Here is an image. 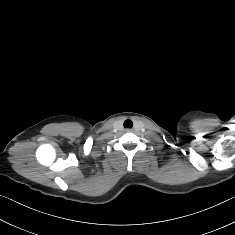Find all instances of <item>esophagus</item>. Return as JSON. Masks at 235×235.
Listing matches in <instances>:
<instances>
[{
	"label": "esophagus",
	"instance_id": "obj_1",
	"mask_svg": "<svg viewBox=\"0 0 235 235\" xmlns=\"http://www.w3.org/2000/svg\"><path fill=\"white\" fill-rule=\"evenodd\" d=\"M126 131H127V132H130V131H133V129H129V128H128V129H126Z\"/></svg>",
	"mask_w": 235,
	"mask_h": 235
}]
</instances>
